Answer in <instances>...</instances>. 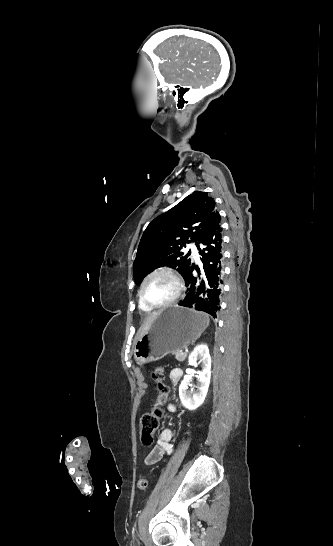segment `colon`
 Instances as JSON below:
<instances>
[{
  "label": "colon",
  "mask_w": 333,
  "mask_h": 546,
  "mask_svg": "<svg viewBox=\"0 0 333 546\" xmlns=\"http://www.w3.org/2000/svg\"><path fill=\"white\" fill-rule=\"evenodd\" d=\"M152 378L158 385L159 398L156 406H154L149 412L143 414L140 419V442L145 447L153 444L154 436L160 427V419L163 415L161 405L166 401L169 393L168 387L163 383V368H156L152 373ZM137 486L140 490H146L148 487V480L140 479Z\"/></svg>",
  "instance_id": "1"
}]
</instances>
